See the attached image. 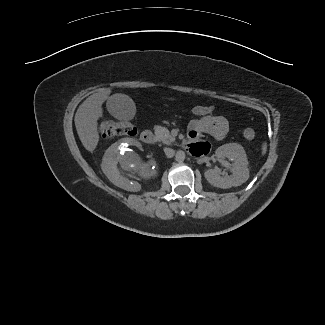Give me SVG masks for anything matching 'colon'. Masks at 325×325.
Returning a JSON list of instances; mask_svg holds the SVG:
<instances>
[{
    "label": "colon",
    "instance_id": "1",
    "mask_svg": "<svg viewBox=\"0 0 325 325\" xmlns=\"http://www.w3.org/2000/svg\"><path fill=\"white\" fill-rule=\"evenodd\" d=\"M189 112L196 118H202L213 115L215 108L213 106L195 105L189 109ZM99 132L103 137L111 138L121 135L134 136L137 130L129 122H118L110 119H105L102 120L99 124ZM243 135L246 139L251 140L255 137V131L252 128L247 127L244 129Z\"/></svg>",
    "mask_w": 325,
    "mask_h": 325
}]
</instances>
